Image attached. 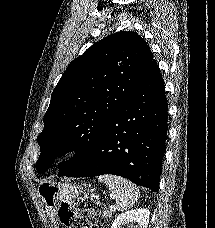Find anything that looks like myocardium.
I'll return each instance as SVG.
<instances>
[{
    "label": "myocardium",
    "instance_id": "obj_1",
    "mask_svg": "<svg viewBox=\"0 0 215 228\" xmlns=\"http://www.w3.org/2000/svg\"><path fill=\"white\" fill-rule=\"evenodd\" d=\"M72 153V150L70 148H65L61 151V155L63 156H69Z\"/></svg>",
    "mask_w": 215,
    "mask_h": 228
}]
</instances>
